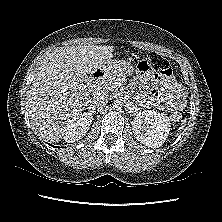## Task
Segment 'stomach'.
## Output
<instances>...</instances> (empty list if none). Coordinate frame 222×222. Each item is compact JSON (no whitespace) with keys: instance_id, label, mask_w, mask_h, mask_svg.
<instances>
[{"instance_id":"0dacf381","label":"stomach","mask_w":222,"mask_h":222,"mask_svg":"<svg viewBox=\"0 0 222 222\" xmlns=\"http://www.w3.org/2000/svg\"><path fill=\"white\" fill-rule=\"evenodd\" d=\"M119 71L122 75H131L133 66L129 62L121 61L119 63Z\"/></svg>"}]
</instances>
